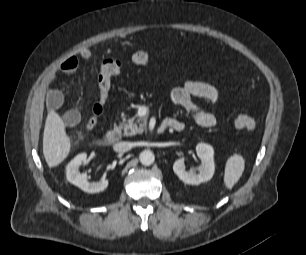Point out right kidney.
I'll list each match as a JSON object with an SVG mask.
<instances>
[{"instance_id":"right-kidney-1","label":"right kidney","mask_w":306,"mask_h":255,"mask_svg":"<svg viewBox=\"0 0 306 255\" xmlns=\"http://www.w3.org/2000/svg\"><path fill=\"white\" fill-rule=\"evenodd\" d=\"M86 158L87 154L81 153L69 162L66 166L67 180L87 193H98L105 190L108 186L107 179H101L99 182H89L87 174L80 173L79 167Z\"/></svg>"}]
</instances>
